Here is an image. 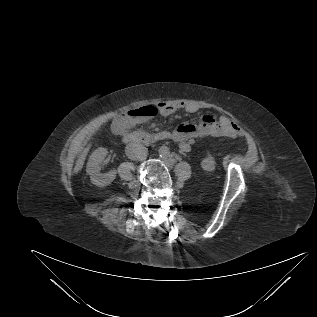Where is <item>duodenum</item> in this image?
<instances>
[{
	"label": "duodenum",
	"instance_id": "duodenum-1",
	"mask_svg": "<svg viewBox=\"0 0 317 317\" xmlns=\"http://www.w3.org/2000/svg\"><path fill=\"white\" fill-rule=\"evenodd\" d=\"M122 137L126 142L130 144L152 145L160 141L171 139L172 134L169 131H159L155 133L134 132L123 133Z\"/></svg>",
	"mask_w": 317,
	"mask_h": 317
}]
</instances>
